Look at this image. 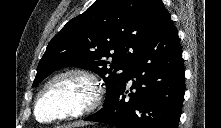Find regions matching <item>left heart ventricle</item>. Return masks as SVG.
Returning a JSON list of instances; mask_svg holds the SVG:
<instances>
[{
    "instance_id": "b2bd125f",
    "label": "left heart ventricle",
    "mask_w": 221,
    "mask_h": 128,
    "mask_svg": "<svg viewBox=\"0 0 221 128\" xmlns=\"http://www.w3.org/2000/svg\"><path fill=\"white\" fill-rule=\"evenodd\" d=\"M85 95V87L82 83L71 79H63L55 84L42 101L38 113L42 119H48L57 112L67 108H75L80 105Z\"/></svg>"
}]
</instances>
